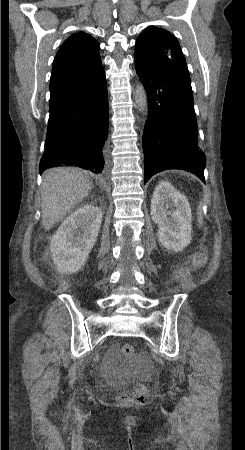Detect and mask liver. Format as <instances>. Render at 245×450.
Here are the masks:
<instances>
[{
  "label": "liver",
  "mask_w": 245,
  "mask_h": 450,
  "mask_svg": "<svg viewBox=\"0 0 245 450\" xmlns=\"http://www.w3.org/2000/svg\"><path fill=\"white\" fill-rule=\"evenodd\" d=\"M92 181L79 170L58 167L45 173L41 189L42 225L51 229L92 189Z\"/></svg>",
  "instance_id": "obj_1"
}]
</instances>
